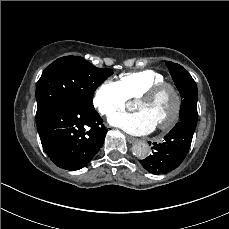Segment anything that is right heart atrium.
I'll list each match as a JSON object with an SVG mask.
<instances>
[{
  "label": "right heart atrium",
  "instance_id": "d8ad5b80",
  "mask_svg": "<svg viewBox=\"0 0 229 229\" xmlns=\"http://www.w3.org/2000/svg\"><path fill=\"white\" fill-rule=\"evenodd\" d=\"M128 100L118 83L106 80L95 90L92 103L101 115L109 117L124 110Z\"/></svg>",
  "mask_w": 229,
  "mask_h": 229
}]
</instances>
